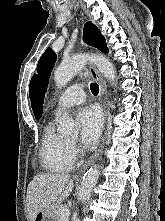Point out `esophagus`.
<instances>
[{"instance_id":"34e87169","label":"esophagus","mask_w":165,"mask_h":221,"mask_svg":"<svg viewBox=\"0 0 165 221\" xmlns=\"http://www.w3.org/2000/svg\"><path fill=\"white\" fill-rule=\"evenodd\" d=\"M89 72H90L91 76L93 77V79L99 84V87H100V97H101L102 107H103L105 117H106V124H105L104 134H103L102 141H101L99 148L85 162L83 168H85V167L89 166L91 163H93L102 153L104 145H105V141L107 138V123H108V118H109V108H108V104H107L108 95H107L106 83L94 65H90Z\"/></svg>"}]
</instances>
